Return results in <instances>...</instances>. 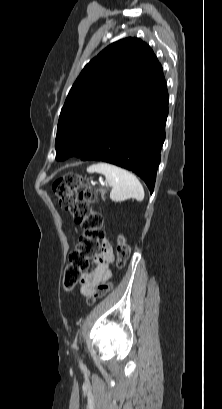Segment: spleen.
<instances>
[{
    "mask_svg": "<svg viewBox=\"0 0 222 409\" xmlns=\"http://www.w3.org/2000/svg\"><path fill=\"white\" fill-rule=\"evenodd\" d=\"M88 173L103 174L112 186L110 198L114 202H121L130 198L137 201L144 199V189L135 175L129 171L109 163H97L87 168Z\"/></svg>",
    "mask_w": 222,
    "mask_h": 409,
    "instance_id": "1",
    "label": "spleen"
}]
</instances>
